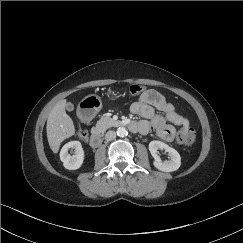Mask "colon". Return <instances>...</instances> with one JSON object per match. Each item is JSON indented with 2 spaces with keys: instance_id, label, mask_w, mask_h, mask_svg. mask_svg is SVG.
<instances>
[{
  "instance_id": "1",
  "label": "colon",
  "mask_w": 243,
  "mask_h": 243,
  "mask_svg": "<svg viewBox=\"0 0 243 243\" xmlns=\"http://www.w3.org/2000/svg\"><path fill=\"white\" fill-rule=\"evenodd\" d=\"M128 92L131 96L136 97L144 92V87L139 84H133L129 87ZM196 139V133L192 128H185L178 135V142L183 146H191Z\"/></svg>"
}]
</instances>
